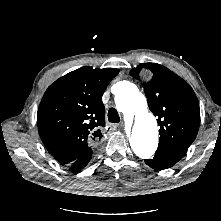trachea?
Here are the masks:
<instances>
[{
  "mask_svg": "<svg viewBox=\"0 0 221 221\" xmlns=\"http://www.w3.org/2000/svg\"><path fill=\"white\" fill-rule=\"evenodd\" d=\"M108 120L111 123L120 122V116L115 108H110L108 111Z\"/></svg>",
  "mask_w": 221,
  "mask_h": 221,
  "instance_id": "trachea-1",
  "label": "trachea"
}]
</instances>
